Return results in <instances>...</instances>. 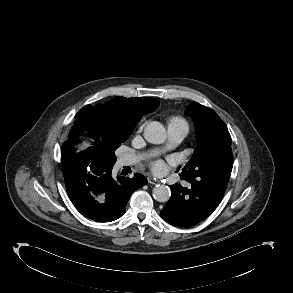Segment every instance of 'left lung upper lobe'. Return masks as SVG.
<instances>
[{"label": "left lung upper lobe", "mask_w": 293, "mask_h": 293, "mask_svg": "<svg viewBox=\"0 0 293 293\" xmlns=\"http://www.w3.org/2000/svg\"><path fill=\"white\" fill-rule=\"evenodd\" d=\"M186 114L196 124L198 145L182 173L217 172L230 176L233 154L226 124L214 110L197 102L187 107Z\"/></svg>", "instance_id": "1"}]
</instances>
